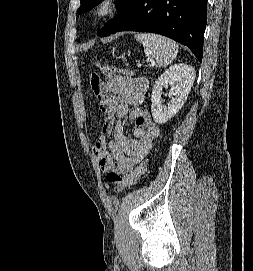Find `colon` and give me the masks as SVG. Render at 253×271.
<instances>
[{
  "instance_id": "1",
  "label": "colon",
  "mask_w": 253,
  "mask_h": 271,
  "mask_svg": "<svg viewBox=\"0 0 253 271\" xmlns=\"http://www.w3.org/2000/svg\"><path fill=\"white\" fill-rule=\"evenodd\" d=\"M96 66L103 72H120L124 75L128 74V70L125 68L111 67L103 62H96ZM103 82L98 76L93 75L90 78V88L94 95H99L102 90ZM146 167V161L137 163L135 169L129 174L120 175L116 172H110L107 176V187L112 189L114 192H121L123 189L134 185L140 177L143 175Z\"/></svg>"
}]
</instances>
